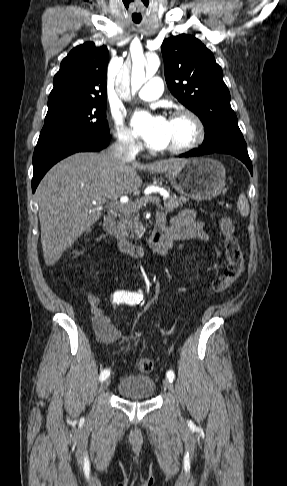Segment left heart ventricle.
<instances>
[{
    "label": "left heart ventricle",
    "mask_w": 287,
    "mask_h": 486,
    "mask_svg": "<svg viewBox=\"0 0 287 486\" xmlns=\"http://www.w3.org/2000/svg\"><path fill=\"white\" fill-rule=\"evenodd\" d=\"M193 136L191 123L184 118L170 119L168 126L167 143L165 148L179 146L187 143Z\"/></svg>",
    "instance_id": "1"
}]
</instances>
